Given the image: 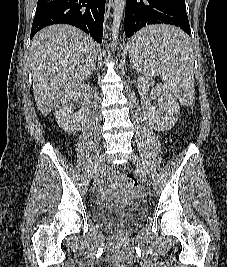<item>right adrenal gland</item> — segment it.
I'll list each match as a JSON object with an SVG mask.
<instances>
[{"label":"right adrenal gland","instance_id":"right-adrenal-gland-1","mask_svg":"<svg viewBox=\"0 0 227 267\" xmlns=\"http://www.w3.org/2000/svg\"><path fill=\"white\" fill-rule=\"evenodd\" d=\"M95 71H96V65L94 64L93 69H92V71L90 72L89 76H91V75L93 74V72H95Z\"/></svg>","mask_w":227,"mask_h":267}]
</instances>
